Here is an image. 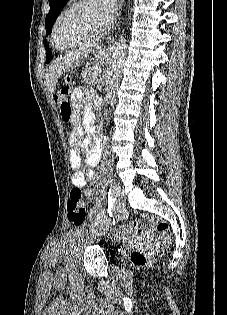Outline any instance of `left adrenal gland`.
I'll return each mask as SVG.
<instances>
[{"label":"left adrenal gland","mask_w":227,"mask_h":315,"mask_svg":"<svg viewBox=\"0 0 227 315\" xmlns=\"http://www.w3.org/2000/svg\"><path fill=\"white\" fill-rule=\"evenodd\" d=\"M98 90H101V86L100 84L97 85Z\"/></svg>","instance_id":"a2214340"}]
</instances>
